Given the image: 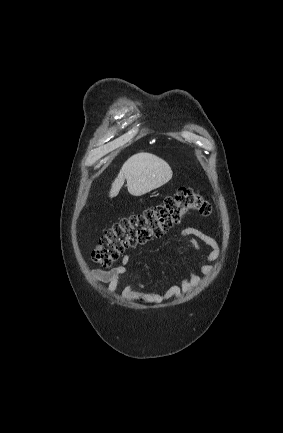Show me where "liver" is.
Masks as SVG:
<instances>
[{
    "label": "liver",
    "mask_w": 283,
    "mask_h": 433,
    "mask_svg": "<svg viewBox=\"0 0 283 433\" xmlns=\"http://www.w3.org/2000/svg\"><path fill=\"white\" fill-rule=\"evenodd\" d=\"M171 166L166 160L151 152H137L124 162L118 176L112 182L110 196H117L124 180L130 194L141 196L153 188H159L172 178Z\"/></svg>",
    "instance_id": "1"
}]
</instances>
